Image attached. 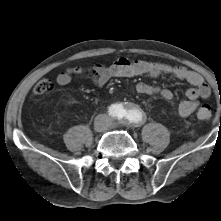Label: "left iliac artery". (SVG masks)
Here are the masks:
<instances>
[{
    "label": "left iliac artery",
    "instance_id": "44dca946",
    "mask_svg": "<svg viewBox=\"0 0 221 221\" xmlns=\"http://www.w3.org/2000/svg\"><path fill=\"white\" fill-rule=\"evenodd\" d=\"M124 116L130 121L134 123H142L144 120V115L139 109H132Z\"/></svg>",
    "mask_w": 221,
    "mask_h": 221
}]
</instances>
